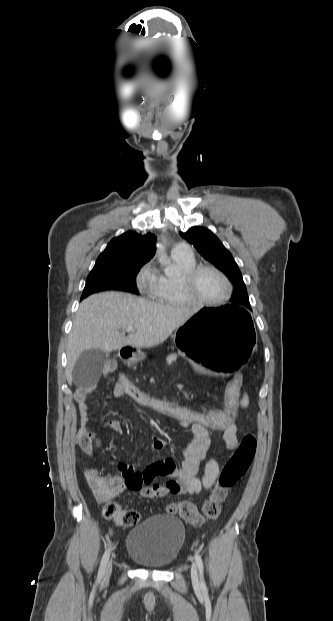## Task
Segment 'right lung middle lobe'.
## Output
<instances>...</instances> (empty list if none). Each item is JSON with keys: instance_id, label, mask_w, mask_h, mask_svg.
Wrapping results in <instances>:
<instances>
[{"instance_id": "1", "label": "right lung middle lobe", "mask_w": 333, "mask_h": 621, "mask_svg": "<svg viewBox=\"0 0 333 621\" xmlns=\"http://www.w3.org/2000/svg\"><path fill=\"white\" fill-rule=\"evenodd\" d=\"M144 264L125 261L96 263L87 278L81 300L92 293L108 289L139 294L135 276Z\"/></svg>"}]
</instances>
